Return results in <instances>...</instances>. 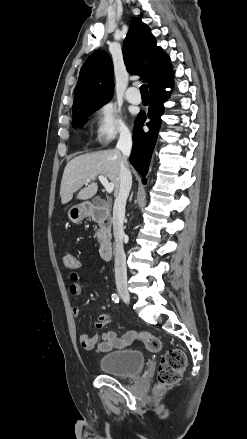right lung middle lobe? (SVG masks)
Listing matches in <instances>:
<instances>
[{
  "mask_svg": "<svg viewBox=\"0 0 247 439\" xmlns=\"http://www.w3.org/2000/svg\"><path fill=\"white\" fill-rule=\"evenodd\" d=\"M100 107L94 108V109H90V110H86L83 111L81 113H78L76 115H74V119H73V126H80L82 127L86 121V118L92 114L94 111L98 110Z\"/></svg>",
  "mask_w": 247,
  "mask_h": 439,
  "instance_id": "right-lung-middle-lobe-1",
  "label": "right lung middle lobe"
}]
</instances>
